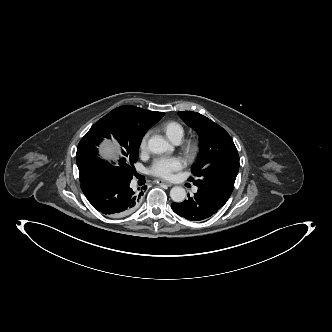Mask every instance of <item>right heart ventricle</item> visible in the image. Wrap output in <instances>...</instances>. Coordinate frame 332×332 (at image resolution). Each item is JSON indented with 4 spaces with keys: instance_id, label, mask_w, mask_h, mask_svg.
I'll return each mask as SVG.
<instances>
[{
    "instance_id": "1",
    "label": "right heart ventricle",
    "mask_w": 332,
    "mask_h": 332,
    "mask_svg": "<svg viewBox=\"0 0 332 332\" xmlns=\"http://www.w3.org/2000/svg\"><path fill=\"white\" fill-rule=\"evenodd\" d=\"M161 129L173 143L181 142L185 135V128L177 121H169L163 124Z\"/></svg>"
}]
</instances>
